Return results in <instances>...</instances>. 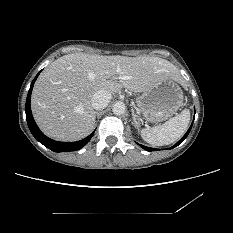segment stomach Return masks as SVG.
<instances>
[{"label": "stomach", "instance_id": "0dacf381", "mask_svg": "<svg viewBox=\"0 0 233 233\" xmlns=\"http://www.w3.org/2000/svg\"><path fill=\"white\" fill-rule=\"evenodd\" d=\"M136 103L147 121L158 123L177 112L183 103V92L175 80L169 79L143 92Z\"/></svg>", "mask_w": 233, "mask_h": 233}]
</instances>
